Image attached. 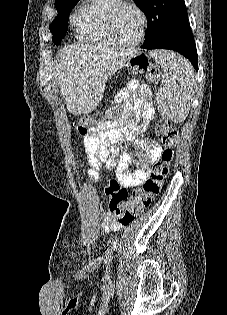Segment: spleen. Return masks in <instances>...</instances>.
<instances>
[{
  "label": "spleen",
  "mask_w": 227,
  "mask_h": 315,
  "mask_svg": "<svg viewBox=\"0 0 227 315\" xmlns=\"http://www.w3.org/2000/svg\"><path fill=\"white\" fill-rule=\"evenodd\" d=\"M151 57L163 68L162 86L157 93V109L166 118L182 122L188 115L195 84L188 61L173 52L153 51Z\"/></svg>",
  "instance_id": "1"
}]
</instances>
